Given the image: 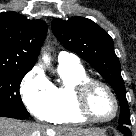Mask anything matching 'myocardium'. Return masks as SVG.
<instances>
[{"mask_svg": "<svg viewBox=\"0 0 136 136\" xmlns=\"http://www.w3.org/2000/svg\"><path fill=\"white\" fill-rule=\"evenodd\" d=\"M96 88H103L104 90H106L112 99L114 110L112 115L108 118L105 119L98 118L94 116L90 110V105H89L90 97ZM74 95H75L76 108L79 114L82 117H84L87 121L94 123H107L115 119V117L119 112V102L115 92L107 83L103 81L91 79V78L86 79L80 82L75 87Z\"/></svg>", "mask_w": 136, "mask_h": 136, "instance_id": "obj_1", "label": "myocardium"}]
</instances>
